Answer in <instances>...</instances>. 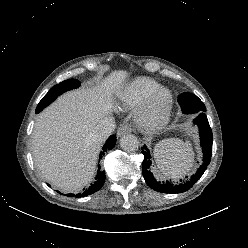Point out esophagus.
<instances>
[{"label":"esophagus","instance_id":"1","mask_svg":"<svg viewBox=\"0 0 248 248\" xmlns=\"http://www.w3.org/2000/svg\"><path fill=\"white\" fill-rule=\"evenodd\" d=\"M131 132H132V127L129 124H123L118 131V135H119V137H122V136L127 135Z\"/></svg>","mask_w":248,"mask_h":248}]
</instances>
